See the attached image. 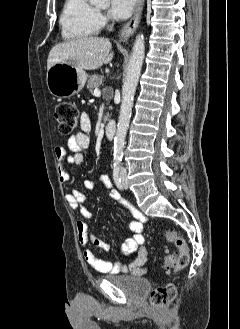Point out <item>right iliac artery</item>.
<instances>
[{"instance_id":"1","label":"right iliac artery","mask_w":240,"mask_h":329,"mask_svg":"<svg viewBox=\"0 0 240 329\" xmlns=\"http://www.w3.org/2000/svg\"><path fill=\"white\" fill-rule=\"evenodd\" d=\"M113 179H114V182H115L116 186L120 190H123V184H122L121 176H120V168L118 166H115L114 167V170H113Z\"/></svg>"}]
</instances>
